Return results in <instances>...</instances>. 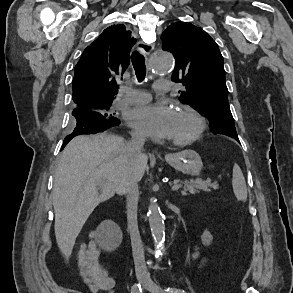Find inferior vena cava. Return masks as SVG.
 <instances>
[{
	"mask_svg": "<svg viewBox=\"0 0 293 293\" xmlns=\"http://www.w3.org/2000/svg\"><path fill=\"white\" fill-rule=\"evenodd\" d=\"M145 143V136L140 133H133L132 139L127 143V150L130 155H140ZM122 191L126 195L127 221L131 236L132 253L135 269L137 272H146L144 249L138 230L137 222V200H138V179L132 170H128L122 177Z\"/></svg>",
	"mask_w": 293,
	"mask_h": 293,
	"instance_id": "1",
	"label": "inferior vena cava"
}]
</instances>
